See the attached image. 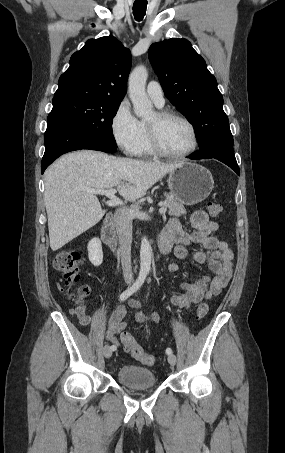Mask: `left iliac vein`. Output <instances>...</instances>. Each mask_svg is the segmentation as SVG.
Returning <instances> with one entry per match:
<instances>
[{
	"label": "left iliac vein",
	"mask_w": 285,
	"mask_h": 453,
	"mask_svg": "<svg viewBox=\"0 0 285 453\" xmlns=\"http://www.w3.org/2000/svg\"><path fill=\"white\" fill-rule=\"evenodd\" d=\"M176 356L174 354L168 355V362L170 365L174 366L176 364Z\"/></svg>",
	"instance_id": "left-iliac-vein-1"
}]
</instances>
